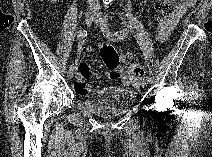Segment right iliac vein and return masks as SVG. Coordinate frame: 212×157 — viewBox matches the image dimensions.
Segmentation results:
<instances>
[{
  "label": "right iliac vein",
  "instance_id": "63e3f726",
  "mask_svg": "<svg viewBox=\"0 0 212 157\" xmlns=\"http://www.w3.org/2000/svg\"><path fill=\"white\" fill-rule=\"evenodd\" d=\"M97 17L94 13H91L89 12L87 15H86V18H85V23L87 25H90L92 24V22L96 21ZM74 76V69H69L68 71V78H72Z\"/></svg>",
  "mask_w": 212,
  "mask_h": 157
}]
</instances>
